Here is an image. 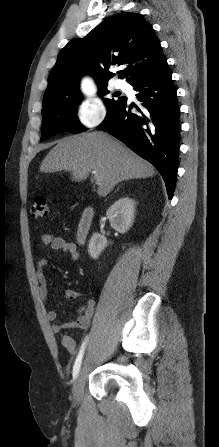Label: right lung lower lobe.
<instances>
[{
    "mask_svg": "<svg viewBox=\"0 0 219 447\" xmlns=\"http://www.w3.org/2000/svg\"><path fill=\"white\" fill-rule=\"evenodd\" d=\"M139 109L124 98L107 113L99 129H107L134 152L151 162L162 175L172 198L178 167L180 109L167 62L158 72L132 85ZM136 107L138 113L131 110Z\"/></svg>",
    "mask_w": 219,
    "mask_h": 447,
    "instance_id": "right-lung-lower-lobe-1",
    "label": "right lung lower lobe"
}]
</instances>
